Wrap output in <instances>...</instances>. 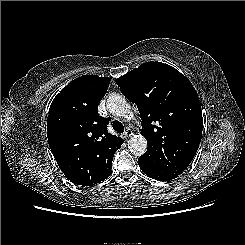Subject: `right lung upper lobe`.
<instances>
[{"label": "right lung upper lobe", "mask_w": 245, "mask_h": 245, "mask_svg": "<svg viewBox=\"0 0 245 245\" xmlns=\"http://www.w3.org/2000/svg\"><path fill=\"white\" fill-rule=\"evenodd\" d=\"M110 80L97 75L78 77L57 94L49 109L47 137L53 156L59 167L76 169L80 185L101 182L97 153H113L123 143L108 133V119L98 114Z\"/></svg>", "instance_id": "obj_1"}]
</instances>
